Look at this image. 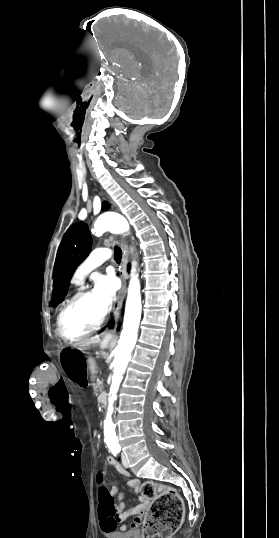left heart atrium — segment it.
Wrapping results in <instances>:
<instances>
[{
	"instance_id": "obj_1",
	"label": "left heart atrium",
	"mask_w": 279,
	"mask_h": 538,
	"mask_svg": "<svg viewBox=\"0 0 279 538\" xmlns=\"http://www.w3.org/2000/svg\"><path fill=\"white\" fill-rule=\"evenodd\" d=\"M118 288V279L112 272L99 275L95 280L93 293L98 297L104 312L108 311Z\"/></svg>"
}]
</instances>
